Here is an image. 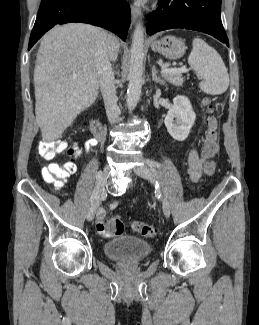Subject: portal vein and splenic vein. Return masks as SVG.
<instances>
[{"label": "portal vein and splenic vein", "mask_w": 259, "mask_h": 325, "mask_svg": "<svg viewBox=\"0 0 259 325\" xmlns=\"http://www.w3.org/2000/svg\"><path fill=\"white\" fill-rule=\"evenodd\" d=\"M185 71H186V66H182L180 68L162 67L161 73H180V72H185Z\"/></svg>", "instance_id": "obj_1"}]
</instances>
